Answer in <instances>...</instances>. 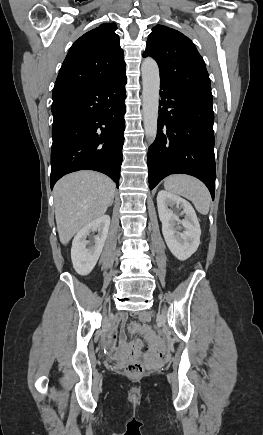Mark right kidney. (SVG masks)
I'll return each instance as SVG.
<instances>
[{"instance_id": "ca27d5eb", "label": "right kidney", "mask_w": 263, "mask_h": 435, "mask_svg": "<svg viewBox=\"0 0 263 435\" xmlns=\"http://www.w3.org/2000/svg\"><path fill=\"white\" fill-rule=\"evenodd\" d=\"M110 217L102 215L81 228L72 242L71 259L73 267L80 275H88L95 267L107 239ZM91 232H98L94 244L87 240Z\"/></svg>"}]
</instances>
